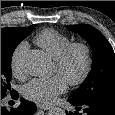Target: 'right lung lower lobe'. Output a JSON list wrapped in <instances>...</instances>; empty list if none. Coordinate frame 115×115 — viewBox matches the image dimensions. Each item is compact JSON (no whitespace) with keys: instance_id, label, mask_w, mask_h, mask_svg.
<instances>
[{"instance_id":"right-lung-lower-lobe-1","label":"right lung lower lobe","mask_w":115,"mask_h":115,"mask_svg":"<svg viewBox=\"0 0 115 115\" xmlns=\"http://www.w3.org/2000/svg\"><path fill=\"white\" fill-rule=\"evenodd\" d=\"M12 98L17 99L19 94L13 91L11 94ZM4 96H1L3 99ZM36 112V105L33 102L22 99L21 104L17 108L7 109L1 106V115H32Z\"/></svg>"}]
</instances>
